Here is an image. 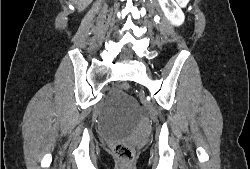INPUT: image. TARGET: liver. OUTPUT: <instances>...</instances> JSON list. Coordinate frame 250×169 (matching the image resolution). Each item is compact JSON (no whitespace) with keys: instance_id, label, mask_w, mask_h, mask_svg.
I'll return each mask as SVG.
<instances>
[{"instance_id":"obj_1","label":"liver","mask_w":250,"mask_h":169,"mask_svg":"<svg viewBox=\"0 0 250 169\" xmlns=\"http://www.w3.org/2000/svg\"><path fill=\"white\" fill-rule=\"evenodd\" d=\"M72 2L76 4L78 10H84V8H86V6H88L92 0H72Z\"/></svg>"}]
</instances>
